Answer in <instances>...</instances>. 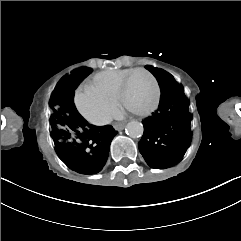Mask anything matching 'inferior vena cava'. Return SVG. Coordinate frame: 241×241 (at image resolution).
Returning <instances> with one entry per match:
<instances>
[{"instance_id": "602c4592", "label": "inferior vena cava", "mask_w": 241, "mask_h": 241, "mask_svg": "<svg viewBox=\"0 0 241 241\" xmlns=\"http://www.w3.org/2000/svg\"><path fill=\"white\" fill-rule=\"evenodd\" d=\"M111 122H112V118L110 116H105L103 119L95 122L94 124L97 126H102V125L110 124Z\"/></svg>"}]
</instances>
